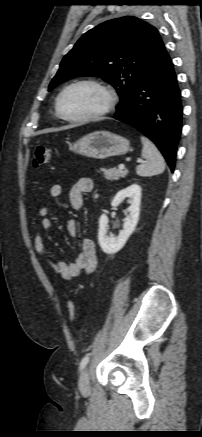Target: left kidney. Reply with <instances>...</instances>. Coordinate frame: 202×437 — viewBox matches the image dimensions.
<instances>
[{
  "label": "left kidney",
  "instance_id": "left-kidney-1",
  "mask_svg": "<svg viewBox=\"0 0 202 437\" xmlns=\"http://www.w3.org/2000/svg\"><path fill=\"white\" fill-rule=\"evenodd\" d=\"M125 198H128L130 204L129 214L125 217L123 229L117 237L113 234L108 235L109 220L106 214H102L99 219L98 242L106 254H114L120 251L137 226L140 214L141 187L138 184H132L120 190L113 198L111 205L113 207L118 206Z\"/></svg>",
  "mask_w": 202,
  "mask_h": 437
}]
</instances>
